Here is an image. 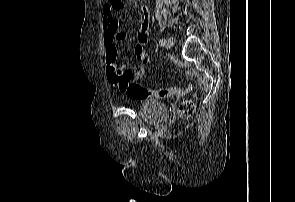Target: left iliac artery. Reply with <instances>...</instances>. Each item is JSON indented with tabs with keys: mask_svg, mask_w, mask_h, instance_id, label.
Masks as SVG:
<instances>
[{
	"mask_svg": "<svg viewBox=\"0 0 295 202\" xmlns=\"http://www.w3.org/2000/svg\"><path fill=\"white\" fill-rule=\"evenodd\" d=\"M159 44L161 46H164L165 45V39H163V38L159 39Z\"/></svg>",
	"mask_w": 295,
	"mask_h": 202,
	"instance_id": "left-iliac-artery-1",
	"label": "left iliac artery"
}]
</instances>
